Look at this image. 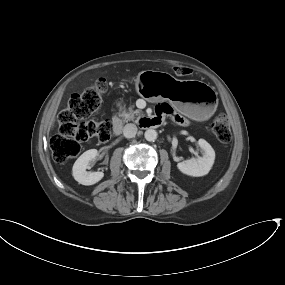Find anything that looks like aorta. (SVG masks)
Here are the masks:
<instances>
[{
    "instance_id": "762f6f07",
    "label": "aorta",
    "mask_w": 285,
    "mask_h": 285,
    "mask_svg": "<svg viewBox=\"0 0 285 285\" xmlns=\"http://www.w3.org/2000/svg\"><path fill=\"white\" fill-rule=\"evenodd\" d=\"M157 132L154 129H147L144 133V137L147 141L153 142L157 138Z\"/></svg>"
}]
</instances>
